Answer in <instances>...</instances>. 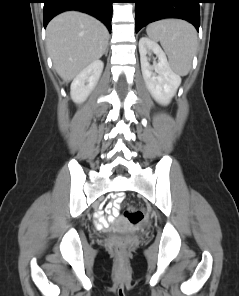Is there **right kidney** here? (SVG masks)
Listing matches in <instances>:
<instances>
[{"label": "right kidney", "mask_w": 239, "mask_h": 296, "mask_svg": "<svg viewBox=\"0 0 239 296\" xmlns=\"http://www.w3.org/2000/svg\"><path fill=\"white\" fill-rule=\"evenodd\" d=\"M104 63L101 60H96L85 67L73 80L70 87V95L72 100L80 104L84 102L89 94L96 86Z\"/></svg>", "instance_id": "ca27d5eb"}]
</instances>
